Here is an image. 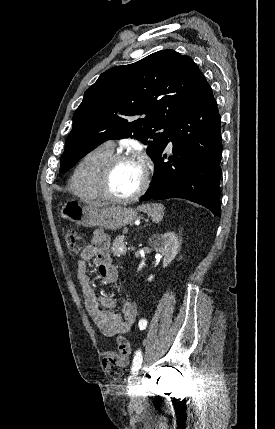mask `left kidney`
Segmentation results:
<instances>
[{"instance_id": "left-kidney-1", "label": "left kidney", "mask_w": 275, "mask_h": 429, "mask_svg": "<svg viewBox=\"0 0 275 429\" xmlns=\"http://www.w3.org/2000/svg\"><path fill=\"white\" fill-rule=\"evenodd\" d=\"M149 242L152 247L163 255V268L171 263L180 248L178 236L174 232L155 234L149 238ZM154 277V275H150L147 280L151 282Z\"/></svg>"}]
</instances>
